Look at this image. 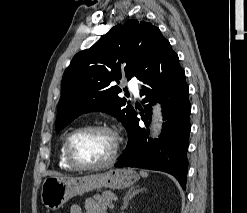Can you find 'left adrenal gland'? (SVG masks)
<instances>
[{
	"label": "left adrenal gland",
	"instance_id": "left-adrenal-gland-1",
	"mask_svg": "<svg viewBox=\"0 0 247 213\" xmlns=\"http://www.w3.org/2000/svg\"><path fill=\"white\" fill-rule=\"evenodd\" d=\"M144 188H140V186H135V187H131L125 194L124 198H123V205H122V210L126 209L128 206V202L129 200H131V198L133 196H135L136 194H138L139 192L143 191Z\"/></svg>",
	"mask_w": 247,
	"mask_h": 213
}]
</instances>
